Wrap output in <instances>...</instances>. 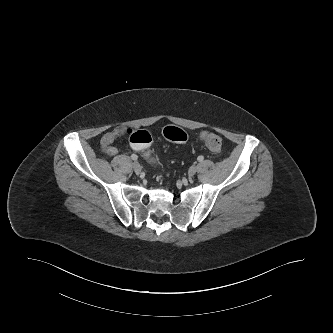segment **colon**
<instances>
[{"mask_svg": "<svg viewBox=\"0 0 333 333\" xmlns=\"http://www.w3.org/2000/svg\"><path fill=\"white\" fill-rule=\"evenodd\" d=\"M164 136L166 139L176 142L184 143L187 141V133L176 126H168L164 129ZM201 139L209 150L218 153L222 148L221 138L212 132L204 131L201 133ZM129 145L133 151L139 152L147 148L152 143V136L146 130L133 131L132 137L129 138ZM147 165L151 169H158L162 165V157L158 153H151L147 157Z\"/></svg>", "mask_w": 333, "mask_h": 333, "instance_id": "5ec220e1", "label": "colon"}]
</instances>
